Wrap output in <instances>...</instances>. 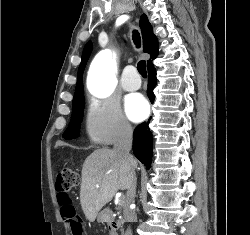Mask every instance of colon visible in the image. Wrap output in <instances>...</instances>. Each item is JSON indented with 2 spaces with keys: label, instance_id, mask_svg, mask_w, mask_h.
<instances>
[{
  "label": "colon",
  "instance_id": "1",
  "mask_svg": "<svg viewBox=\"0 0 250 235\" xmlns=\"http://www.w3.org/2000/svg\"><path fill=\"white\" fill-rule=\"evenodd\" d=\"M79 182L78 173L70 167L62 166L57 172L56 187L58 191V203L61 208V215L65 222L70 225L73 235H83L84 228L68 191L74 188Z\"/></svg>",
  "mask_w": 250,
  "mask_h": 235
}]
</instances>
